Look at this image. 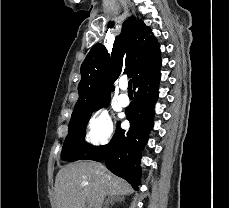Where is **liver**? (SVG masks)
<instances>
[{"mask_svg": "<svg viewBox=\"0 0 229 208\" xmlns=\"http://www.w3.org/2000/svg\"><path fill=\"white\" fill-rule=\"evenodd\" d=\"M131 192L130 184L91 160L67 164L55 180L57 208H102L107 194L125 196Z\"/></svg>", "mask_w": 229, "mask_h": 208, "instance_id": "liver-1", "label": "liver"}]
</instances>
